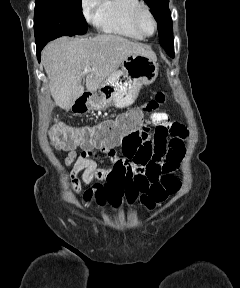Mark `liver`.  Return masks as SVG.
Returning a JSON list of instances; mask_svg holds the SVG:
<instances>
[{
    "instance_id": "liver-1",
    "label": "liver",
    "mask_w": 240,
    "mask_h": 288,
    "mask_svg": "<svg viewBox=\"0 0 240 288\" xmlns=\"http://www.w3.org/2000/svg\"><path fill=\"white\" fill-rule=\"evenodd\" d=\"M134 53L156 57L142 44L110 34L75 39L63 36L48 43L42 51V62L56 105L68 111L83 94L81 82L85 67H89L86 89L94 93L118 70L122 61Z\"/></svg>"
}]
</instances>
